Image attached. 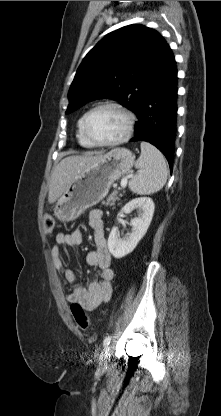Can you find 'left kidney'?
<instances>
[{"mask_svg":"<svg viewBox=\"0 0 221 416\" xmlns=\"http://www.w3.org/2000/svg\"><path fill=\"white\" fill-rule=\"evenodd\" d=\"M154 202L149 197L136 198L129 201L118 214L131 213L138 209V217L131 220L132 232L124 239H121L116 227H113L108 238L109 252L115 258H122L131 253L139 241L144 237L151 223L154 213Z\"/></svg>","mask_w":221,"mask_h":416,"instance_id":"left-kidney-1","label":"left kidney"}]
</instances>
